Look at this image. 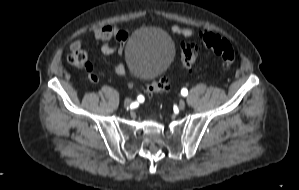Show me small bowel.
I'll return each instance as SVG.
<instances>
[{"label":"small bowel","mask_w":299,"mask_h":190,"mask_svg":"<svg viewBox=\"0 0 299 190\" xmlns=\"http://www.w3.org/2000/svg\"><path fill=\"white\" fill-rule=\"evenodd\" d=\"M172 30L186 38H191L195 35V32L191 28L181 27V26H173ZM129 37V30L126 28H118L112 25H104L95 30L93 39L94 41L100 45L101 51L105 55H111L114 52H118L119 54L123 53L125 43ZM115 40V45H111V41ZM82 42L78 41L73 44V47H81ZM114 70L118 75H126L127 69L122 62H117L114 65ZM89 79L93 82L98 81V75L93 70L88 74Z\"/></svg>","instance_id":"c3829d8e"}]
</instances>
